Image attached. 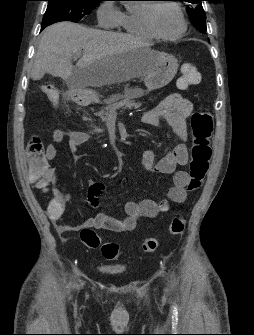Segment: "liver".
Instances as JSON below:
<instances>
[{"mask_svg":"<svg viewBox=\"0 0 254 335\" xmlns=\"http://www.w3.org/2000/svg\"><path fill=\"white\" fill-rule=\"evenodd\" d=\"M149 45L128 34L55 23L41 37L32 76L39 79L49 73L79 88L129 81L153 67ZM77 57L74 67L72 59Z\"/></svg>","mask_w":254,"mask_h":335,"instance_id":"1","label":"liver"}]
</instances>
